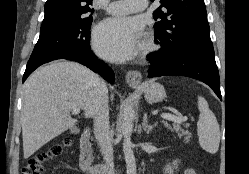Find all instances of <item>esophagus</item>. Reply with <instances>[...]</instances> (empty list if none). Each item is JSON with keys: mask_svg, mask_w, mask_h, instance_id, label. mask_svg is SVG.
I'll list each match as a JSON object with an SVG mask.
<instances>
[{"mask_svg": "<svg viewBox=\"0 0 249 174\" xmlns=\"http://www.w3.org/2000/svg\"><path fill=\"white\" fill-rule=\"evenodd\" d=\"M142 81V75L139 71H128L126 73V82L132 86L140 85Z\"/></svg>", "mask_w": 249, "mask_h": 174, "instance_id": "1", "label": "esophagus"}]
</instances>
